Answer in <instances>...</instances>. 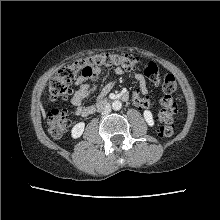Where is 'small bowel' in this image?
Instances as JSON below:
<instances>
[{"instance_id":"c3829d8e","label":"small bowel","mask_w":220,"mask_h":220,"mask_svg":"<svg viewBox=\"0 0 220 220\" xmlns=\"http://www.w3.org/2000/svg\"><path fill=\"white\" fill-rule=\"evenodd\" d=\"M102 72L101 68L90 70V72L86 75H79L75 79V92L73 97L71 98V103L74 107V112L76 115L81 117H87L93 114L96 111V107L94 105H84V101L88 98L91 94H93L97 90V84L92 83L96 81ZM115 73L117 75H123L124 70L120 67L115 69ZM135 79L139 85V91L134 92L132 94V100L134 104L138 107L147 108L150 106V101L146 97L148 92L146 81L142 74L137 73L135 75ZM112 84H107L101 92V97L107 94L111 88Z\"/></svg>"}]
</instances>
